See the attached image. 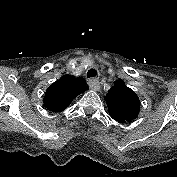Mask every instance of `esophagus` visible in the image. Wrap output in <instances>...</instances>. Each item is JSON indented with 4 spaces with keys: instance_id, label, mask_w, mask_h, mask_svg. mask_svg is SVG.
Wrapping results in <instances>:
<instances>
[{
    "instance_id": "esophagus-1",
    "label": "esophagus",
    "mask_w": 177,
    "mask_h": 177,
    "mask_svg": "<svg viewBox=\"0 0 177 177\" xmlns=\"http://www.w3.org/2000/svg\"><path fill=\"white\" fill-rule=\"evenodd\" d=\"M88 85H89L90 89H92L94 91H99L100 90V83L95 78L89 79L88 80Z\"/></svg>"
}]
</instances>
